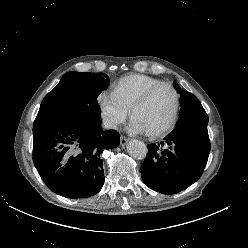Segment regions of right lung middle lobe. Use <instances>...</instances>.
Listing matches in <instances>:
<instances>
[{"instance_id": "dd1d6c3e", "label": "right lung middle lobe", "mask_w": 248, "mask_h": 248, "mask_svg": "<svg viewBox=\"0 0 248 248\" xmlns=\"http://www.w3.org/2000/svg\"><path fill=\"white\" fill-rule=\"evenodd\" d=\"M107 80L89 72H68L43 99L34 123H63L77 120L101 121L98 95Z\"/></svg>"}]
</instances>
